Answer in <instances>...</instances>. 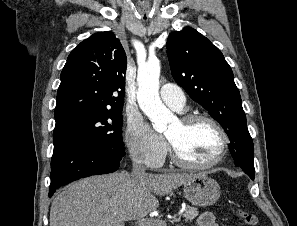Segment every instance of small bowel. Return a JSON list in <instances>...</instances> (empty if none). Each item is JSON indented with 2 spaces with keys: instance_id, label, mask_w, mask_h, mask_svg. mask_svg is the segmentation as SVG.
I'll return each mask as SVG.
<instances>
[{
  "instance_id": "1",
  "label": "small bowel",
  "mask_w": 297,
  "mask_h": 226,
  "mask_svg": "<svg viewBox=\"0 0 297 226\" xmlns=\"http://www.w3.org/2000/svg\"><path fill=\"white\" fill-rule=\"evenodd\" d=\"M196 226H220V225L216 223L215 217L211 212H204L197 219Z\"/></svg>"
}]
</instances>
